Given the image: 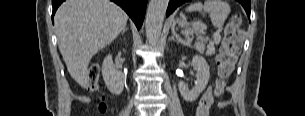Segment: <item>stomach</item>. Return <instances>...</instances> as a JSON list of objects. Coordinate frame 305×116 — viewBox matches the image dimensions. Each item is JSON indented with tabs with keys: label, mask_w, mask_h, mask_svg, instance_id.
I'll return each instance as SVG.
<instances>
[{
	"label": "stomach",
	"mask_w": 305,
	"mask_h": 116,
	"mask_svg": "<svg viewBox=\"0 0 305 116\" xmlns=\"http://www.w3.org/2000/svg\"><path fill=\"white\" fill-rule=\"evenodd\" d=\"M180 23H182L183 22V17H182V19L181 20H178Z\"/></svg>",
	"instance_id": "obj_1"
}]
</instances>
